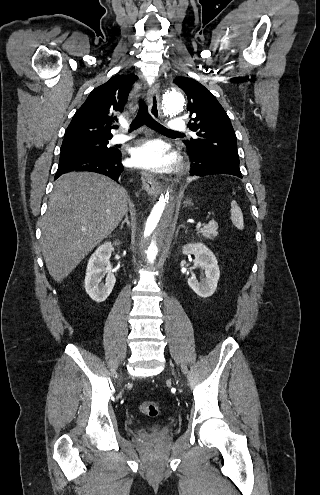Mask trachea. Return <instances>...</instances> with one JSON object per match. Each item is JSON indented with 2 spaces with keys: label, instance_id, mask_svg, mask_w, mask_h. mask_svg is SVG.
Listing matches in <instances>:
<instances>
[{
  "label": "trachea",
  "instance_id": "obj_1",
  "mask_svg": "<svg viewBox=\"0 0 320 495\" xmlns=\"http://www.w3.org/2000/svg\"><path fill=\"white\" fill-rule=\"evenodd\" d=\"M146 125L158 132L161 133H174V134H180L179 132L172 131L170 129H167L163 125L159 124L157 121H155L148 113V106L147 104L143 101L140 100L139 102V110L137 113V116L135 119L132 121L130 125V129L134 130L139 128L141 125ZM130 130V131H131Z\"/></svg>",
  "mask_w": 320,
  "mask_h": 495
}]
</instances>
